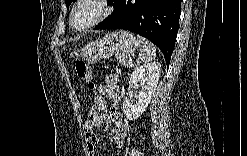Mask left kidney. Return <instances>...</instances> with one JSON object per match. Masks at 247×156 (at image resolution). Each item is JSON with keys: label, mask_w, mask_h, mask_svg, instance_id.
I'll return each mask as SVG.
<instances>
[{"label": "left kidney", "mask_w": 247, "mask_h": 156, "mask_svg": "<svg viewBox=\"0 0 247 156\" xmlns=\"http://www.w3.org/2000/svg\"><path fill=\"white\" fill-rule=\"evenodd\" d=\"M161 72V64L153 62L138 66L130 75L129 89H138L136 101L126 97L123 102V111L129 120L137 119L147 108L157 87Z\"/></svg>", "instance_id": "left-kidney-1"}]
</instances>
